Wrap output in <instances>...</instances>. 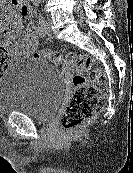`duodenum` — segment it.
<instances>
[{"instance_id":"1","label":"duodenum","mask_w":133,"mask_h":173,"mask_svg":"<svg viewBox=\"0 0 133 173\" xmlns=\"http://www.w3.org/2000/svg\"><path fill=\"white\" fill-rule=\"evenodd\" d=\"M16 4H19L24 14L28 15L31 12L29 0H13Z\"/></svg>"}]
</instances>
